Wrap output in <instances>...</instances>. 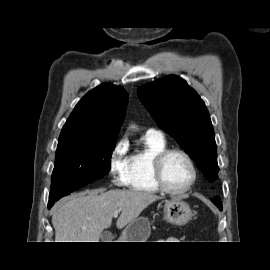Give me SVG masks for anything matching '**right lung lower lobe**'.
I'll use <instances>...</instances> for the list:
<instances>
[{"mask_svg": "<svg viewBox=\"0 0 270 270\" xmlns=\"http://www.w3.org/2000/svg\"><path fill=\"white\" fill-rule=\"evenodd\" d=\"M54 202H55V200H51V201L48 202V208L49 209L53 206Z\"/></svg>", "mask_w": 270, "mask_h": 270, "instance_id": "obj_1", "label": "right lung lower lobe"}]
</instances>
